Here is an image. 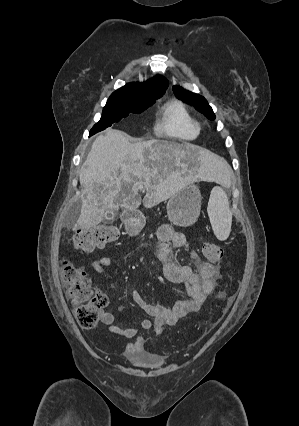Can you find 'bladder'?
Returning <instances> with one entry per match:
<instances>
[{"mask_svg": "<svg viewBox=\"0 0 299 426\" xmlns=\"http://www.w3.org/2000/svg\"><path fill=\"white\" fill-rule=\"evenodd\" d=\"M146 363H150V364H158L160 361H159V359H157V360H154V361H145Z\"/></svg>", "mask_w": 299, "mask_h": 426, "instance_id": "31cf9c89", "label": "bladder"}]
</instances>
